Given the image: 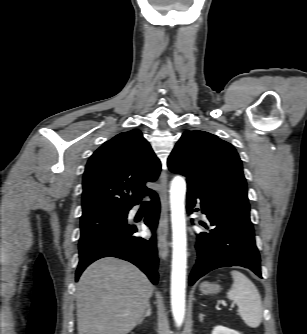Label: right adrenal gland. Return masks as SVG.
<instances>
[{
    "label": "right adrenal gland",
    "instance_id": "right-adrenal-gland-1",
    "mask_svg": "<svg viewBox=\"0 0 307 334\" xmlns=\"http://www.w3.org/2000/svg\"><path fill=\"white\" fill-rule=\"evenodd\" d=\"M149 316H151V306H150V304H148V306H147V309H146V312H145V314L143 315V317L141 318V320H140V324L143 322V320L146 318V317H149Z\"/></svg>",
    "mask_w": 307,
    "mask_h": 334
}]
</instances>
